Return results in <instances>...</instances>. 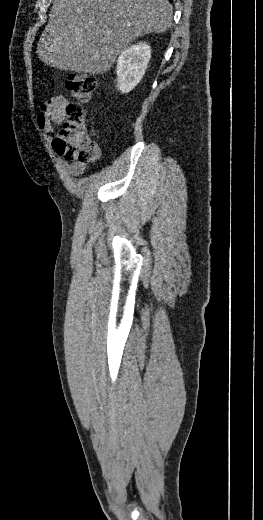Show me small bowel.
Segmentation results:
<instances>
[{
	"instance_id": "small-bowel-1",
	"label": "small bowel",
	"mask_w": 263,
	"mask_h": 520,
	"mask_svg": "<svg viewBox=\"0 0 263 520\" xmlns=\"http://www.w3.org/2000/svg\"><path fill=\"white\" fill-rule=\"evenodd\" d=\"M69 101L65 96L58 95L51 97L41 106V111L36 116V121L40 129L46 134L47 138L54 129V126L60 124L66 119V108ZM61 167L73 176H79L87 169V164L82 162L68 163L64 159H59Z\"/></svg>"
}]
</instances>
